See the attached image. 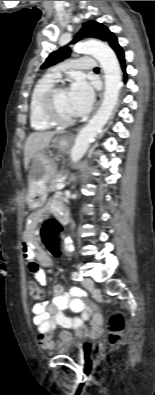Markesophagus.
Returning <instances> with one entry per match:
<instances>
[{
	"label": "esophagus",
	"instance_id": "obj_1",
	"mask_svg": "<svg viewBox=\"0 0 155 395\" xmlns=\"http://www.w3.org/2000/svg\"><path fill=\"white\" fill-rule=\"evenodd\" d=\"M102 96H103V92H101V93L98 95V97H97L96 105H95V110L99 107V105H100V103H101V101H102ZM68 138H70V137H68Z\"/></svg>",
	"mask_w": 155,
	"mask_h": 395
}]
</instances>
